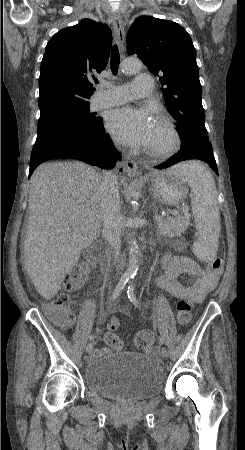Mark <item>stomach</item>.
Masks as SVG:
<instances>
[{
	"label": "stomach",
	"mask_w": 245,
	"mask_h": 450,
	"mask_svg": "<svg viewBox=\"0 0 245 450\" xmlns=\"http://www.w3.org/2000/svg\"><path fill=\"white\" fill-rule=\"evenodd\" d=\"M149 188L157 200L168 206L182 203L188 194L186 181L171 170L154 172L150 177Z\"/></svg>",
	"instance_id": "0dacf381"
}]
</instances>
